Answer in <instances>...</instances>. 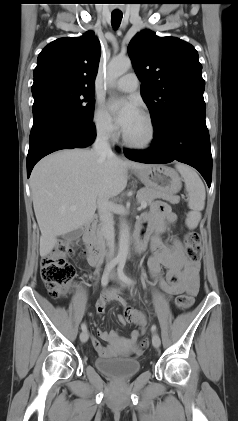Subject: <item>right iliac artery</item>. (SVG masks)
<instances>
[{"instance_id": "right-iliac-artery-1", "label": "right iliac artery", "mask_w": 238, "mask_h": 421, "mask_svg": "<svg viewBox=\"0 0 238 421\" xmlns=\"http://www.w3.org/2000/svg\"><path fill=\"white\" fill-rule=\"evenodd\" d=\"M118 262H119V260L118 259H114V260H112L109 264H108V266L106 267V269H105V271H104V273H103V276H102V278H101V285L103 286V287H105L107 284H108V281H109V274H110V272H111V270L118 264ZM81 329H82V331H87V326H86V324L85 323H83L82 325H81Z\"/></svg>"}]
</instances>
